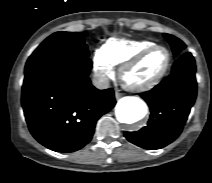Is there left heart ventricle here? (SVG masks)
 Instances as JSON below:
<instances>
[{"label": "left heart ventricle", "instance_id": "b2bd125f", "mask_svg": "<svg viewBox=\"0 0 212 183\" xmlns=\"http://www.w3.org/2000/svg\"><path fill=\"white\" fill-rule=\"evenodd\" d=\"M166 61L167 53L164 49L153 50L140 63L127 72L125 81L132 85L144 84L162 71Z\"/></svg>", "mask_w": 212, "mask_h": 183}]
</instances>
